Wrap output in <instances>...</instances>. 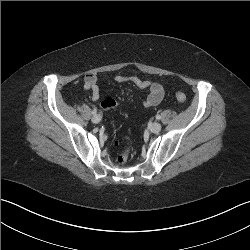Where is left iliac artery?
Returning <instances> with one entry per match:
<instances>
[{"label":"left iliac artery","mask_w":250,"mask_h":250,"mask_svg":"<svg viewBox=\"0 0 250 250\" xmlns=\"http://www.w3.org/2000/svg\"><path fill=\"white\" fill-rule=\"evenodd\" d=\"M160 118H161V117H160V115H156V119H158V120H159Z\"/></svg>","instance_id":"obj_1"}]
</instances>
